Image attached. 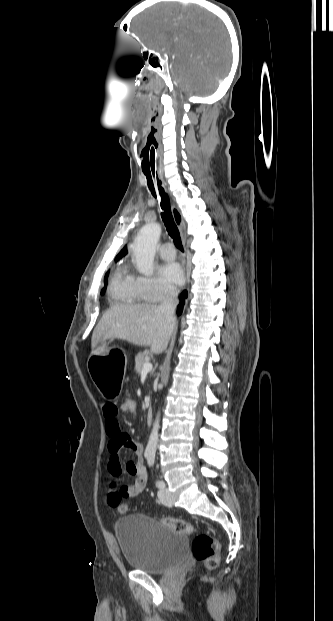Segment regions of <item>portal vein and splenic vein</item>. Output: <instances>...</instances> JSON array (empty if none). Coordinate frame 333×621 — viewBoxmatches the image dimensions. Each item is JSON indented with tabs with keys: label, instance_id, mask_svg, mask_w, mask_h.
<instances>
[{
	"label": "portal vein and splenic vein",
	"instance_id": "1",
	"mask_svg": "<svg viewBox=\"0 0 333 621\" xmlns=\"http://www.w3.org/2000/svg\"><path fill=\"white\" fill-rule=\"evenodd\" d=\"M152 370V364L150 362H146L143 365L142 373H147Z\"/></svg>",
	"mask_w": 333,
	"mask_h": 621
}]
</instances>
